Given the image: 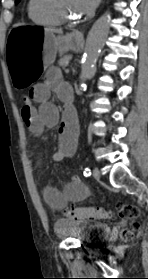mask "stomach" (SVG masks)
Here are the masks:
<instances>
[{
    "mask_svg": "<svg viewBox=\"0 0 148 279\" xmlns=\"http://www.w3.org/2000/svg\"><path fill=\"white\" fill-rule=\"evenodd\" d=\"M45 28V25H15L5 35L7 49H27L5 50L14 91H31L35 82H41L46 69H50L57 52L62 55L69 50L78 51L80 47L76 33L56 37Z\"/></svg>",
    "mask_w": 148,
    "mask_h": 279,
    "instance_id": "stomach-1",
    "label": "stomach"
}]
</instances>
